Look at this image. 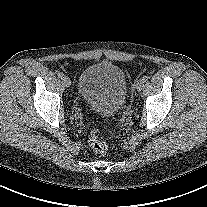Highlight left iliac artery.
<instances>
[{"label":"left iliac artery","mask_w":207,"mask_h":207,"mask_svg":"<svg viewBox=\"0 0 207 207\" xmlns=\"http://www.w3.org/2000/svg\"><path fill=\"white\" fill-rule=\"evenodd\" d=\"M142 80H143L144 82H146V81L148 80V76H146V75L143 76V77H142Z\"/></svg>","instance_id":"1"}]
</instances>
